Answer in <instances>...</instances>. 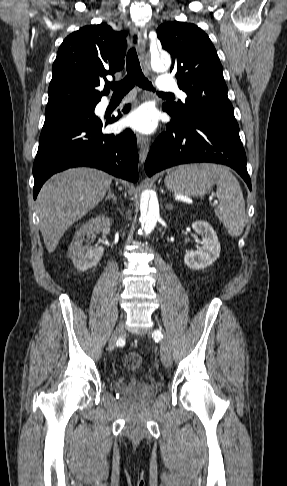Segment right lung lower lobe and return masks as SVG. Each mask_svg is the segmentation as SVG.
Segmentation results:
<instances>
[{
  "instance_id": "right-lung-lower-lobe-1",
  "label": "right lung lower lobe",
  "mask_w": 287,
  "mask_h": 486,
  "mask_svg": "<svg viewBox=\"0 0 287 486\" xmlns=\"http://www.w3.org/2000/svg\"><path fill=\"white\" fill-rule=\"evenodd\" d=\"M126 105L124 112H128ZM120 114V112H119ZM118 118H107L106 124ZM104 121L94 113L42 128L33 165V197L53 174L71 167L88 166L132 182L138 180L136 137L127 129L119 135L103 134Z\"/></svg>"
}]
</instances>
